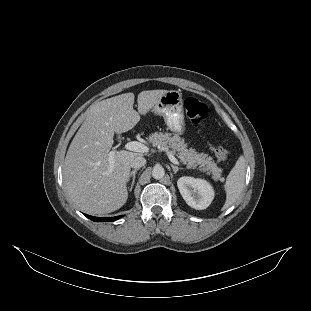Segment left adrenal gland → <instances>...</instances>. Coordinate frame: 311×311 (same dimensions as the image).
<instances>
[{"mask_svg": "<svg viewBox=\"0 0 311 311\" xmlns=\"http://www.w3.org/2000/svg\"><path fill=\"white\" fill-rule=\"evenodd\" d=\"M171 167H172V169H173L174 175H176L177 172H178L179 170H181V168H178V167L174 166L173 164H171Z\"/></svg>", "mask_w": 311, "mask_h": 311, "instance_id": "obj_1", "label": "left adrenal gland"}]
</instances>
